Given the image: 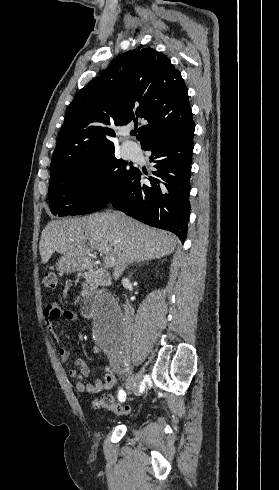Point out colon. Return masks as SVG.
<instances>
[{
  "label": "colon",
  "instance_id": "5ec220e1",
  "mask_svg": "<svg viewBox=\"0 0 279 490\" xmlns=\"http://www.w3.org/2000/svg\"><path fill=\"white\" fill-rule=\"evenodd\" d=\"M58 286L57 274L53 271H46L42 278V287L54 290ZM93 409H108L114 414L122 415L129 412V407H122L116 403L115 399L109 392L93 397L91 401Z\"/></svg>",
  "mask_w": 279,
  "mask_h": 490
}]
</instances>
